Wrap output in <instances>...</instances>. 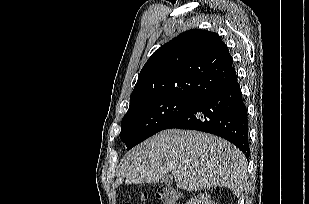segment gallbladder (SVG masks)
<instances>
[{
    "mask_svg": "<svg viewBox=\"0 0 309 204\" xmlns=\"http://www.w3.org/2000/svg\"><path fill=\"white\" fill-rule=\"evenodd\" d=\"M162 181L167 184L170 185L173 182V177L171 175H165L162 179Z\"/></svg>",
    "mask_w": 309,
    "mask_h": 204,
    "instance_id": "gallbladder-1",
    "label": "gallbladder"
}]
</instances>
